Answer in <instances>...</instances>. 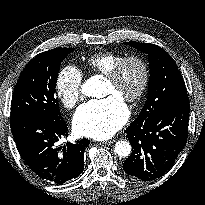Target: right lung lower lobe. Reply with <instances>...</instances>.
<instances>
[{
  "label": "right lung lower lobe",
  "instance_id": "98d812e1",
  "mask_svg": "<svg viewBox=\"0 0 205 205\" xmlns=\"http://www.w3.org/2000/svg\"><path fill=\"white\" fill-rule=\"evenodd\" d=\"M11 131L20 156L41 179L63 184L78 177L84 170V151L88 139L58 146L68 136L64 120L50 121L34 115L10 117Z\"/></svg>",
  "mask_w": 205,
  "mask_h": 205
}]
</instances>
